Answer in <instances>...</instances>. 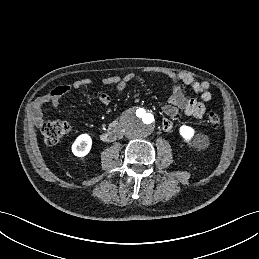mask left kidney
I'll return each instance as SVG.
<instances>
[{"label":"left kidney","instance_id":"left-kidney-1","mask_svg":"<svg viewBox=\"0 0 259 259\" xmlns=\"http://www.w3.org/2000/svg\"><path fill=\"white\" fill-rule=\"evenodd\" d=\"M179 133L186 142H190L194 137L195 130L186 125H182L179 129ZM200 137L195 138L194 142H199Z\"/></svg>","mask_w":259,"mask_h":259}]
</instances>
